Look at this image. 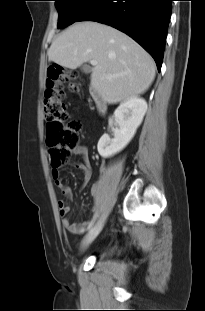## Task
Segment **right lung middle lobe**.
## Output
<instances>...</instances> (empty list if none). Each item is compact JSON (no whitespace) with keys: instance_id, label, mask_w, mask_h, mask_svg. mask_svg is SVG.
Returning <instances> with one entry per match:
<instances>
[{"instance_id":"obj_1","label":"right lung middle lobe","mask_w":205,"mask_h":311,"mask_svg":"<svg viewBox=\"0 0 205 311\" xmlns=\"http://www.w3.org/2000/svg\"><path fill=\"white\" fill-rule=\"evenodd\" d=\"M59 13L58 28L76 22L97 0H54Z\"/></svg>"}]
</instances>
